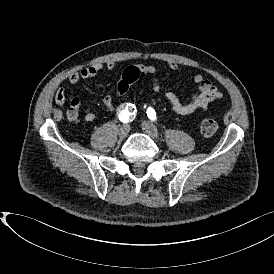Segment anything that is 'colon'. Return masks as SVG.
<instances>
[{
	"mask_svg": "<svg viewBox=\"0 0 274 274\" xmlns=\"http://www.w3.org/2000/svg\"><path fill=\"white\" fill-rule=\"evenodd\" d=\"M140 69L136 66H128L121 75V80L117 83L115 94L118 97H123L126 94V89L133 86L136 80L140 77ZM67 117L70 122L74 121L77 117V111L75 109H69L67 111ZM201 133L203 135H212L216 132L217 123L213 118H205L201 121Z\"/></svg>",
	"mask_w": 274,
	"mask_h": 274,
	"instance_id": "5ec220e1",
	"label": "colon"
}]
</instances>
